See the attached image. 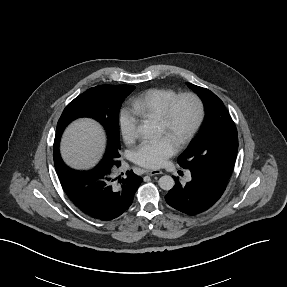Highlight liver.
Instances as JSON below:
<instances>
[{
	"instance_id": "1",
	"label": "liver",
	"mask_w": 287,
	"mask_h": 287,
	"mask_svg": "<svg viewBox=\"0 0 287 287\" xmlns=\"http://www.w3.org/2000/svg\"><path fill=\"white\" fill-rule=\"evenodd\" d=\"M104 144V133L96 122L89 119L79 120L65 132L61 155L64 161L74 168H88L100 158Z\"/></svg>"
}]
</instances>
